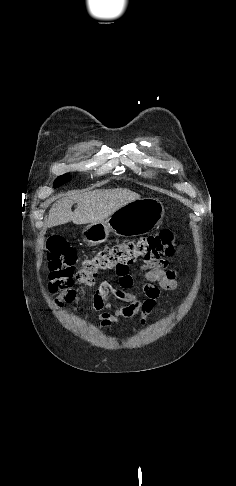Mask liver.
Listing matches in <instances>:
<instances>
[{
    "instance_id": "liver-1",
    "label": "liver",
    "mask_w": 236,
    "mask_h": 486,
    "mask_svg": "<svg viewBox=\"0 0 236 486\" xmlns=\"http://www.w3.org/2000/svg\"><path fill=\"white\" fill-rule=\"evenodd\" d=\"M140 199V195L128 189H100L78 193L57 200L49 210L47 227L72 221L76 225L98 223L106 220L127 203ZM77 203L72 212L71 207Z\"/></svg>"
}]
</instances>
